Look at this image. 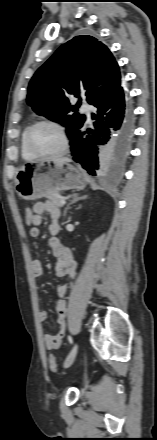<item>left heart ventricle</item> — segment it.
Wrapping results in <instances>:
<instances>
[{"instance_id": "b2bd125f", "label": "left heart ventricle", "mask_w": 157, "mask_h": 440, "mask_svg": "<svg viewBox=\"0 0 157 440\" xmlns=\"http://www.w3.org/2000/svg\"><path fill=\"white\" fill-rule=\"evenodd\" d=\"M32 144L39 152L53 153L62 147V138L56 128L49 125H41L33 132Z\"/></svg>"}]
</instances>
